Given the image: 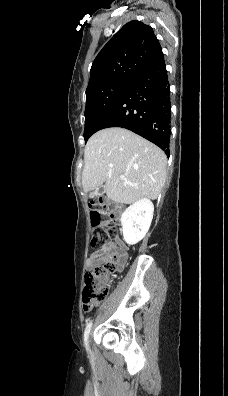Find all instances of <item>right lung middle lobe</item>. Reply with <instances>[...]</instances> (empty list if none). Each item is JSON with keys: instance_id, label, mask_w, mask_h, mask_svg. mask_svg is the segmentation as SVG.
<instances>
[{"instance_id": "1", "label": "right lung middle lobe", "mask_w": 228, "mask_h": 396, "mask_svg": "<svg viewBox=\"0 0 228 396\" xmlns=\"http://www.w3.org/2000/svg\"><path fill=\"white\" fill-rule=\"evenodd\" d=\"M130 83L113 82L86 91L84 139L96 132V126L116 103Z\"/></svg>"}]
</instances>
